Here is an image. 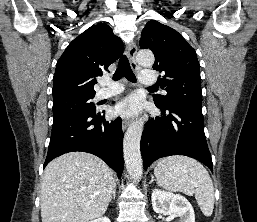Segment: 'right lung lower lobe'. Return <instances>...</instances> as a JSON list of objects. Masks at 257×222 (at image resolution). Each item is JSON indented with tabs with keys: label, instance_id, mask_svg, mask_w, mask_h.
Listing matches in <instances>:
<instances>
[{
	"label": "right lung lower lobe",
	"instance_id": "obj_1",
	"mask_svg": "<svg viewBox=\"0 0 257 222\" xmlns=\"http://www.w3.org/2000/svg\"><path fill=\"white\" fill-rule=\"evenodd\" d=\"M122 142L121 118L106 121L104 112L68 116L53 122L44 167L64 153L82 151L100 157L120 178L123 171Z\"/></svg>",
	"mask_w": 257,
	"mask_h": 222
}]
</instances>
